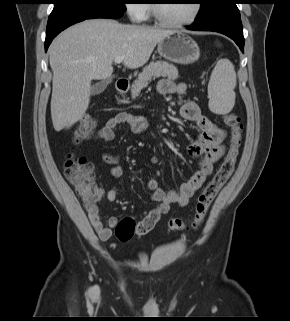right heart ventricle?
<instances>
[{
  "instance_id": "right-heart-ventricle-1",
  "label": "right heart ventricle",
  "mask_w": 290,
  "mask_h": 321,
  "mask_svg": "<svg viewBox=\"0 0 290 321\" xmlns=\"http://www.w3.org/2000/svg\"><path fill=\"white\" fill-rule=\"evenodd\" d=\"M146 10H147V16L149 15L150 13V7L146 5Z\"/></svg>"
}]
</instances>
